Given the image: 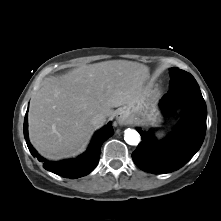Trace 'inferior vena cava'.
<instances>
[{
  "label": "inferior vena cava",
  "mask_w": 221,
  "mask_h": 221,
  "mask_svg": "<svg viewBox=\"0 0 221 221\" xmlns=\"http://www.w3.org/2000/svg\"><path fill=\"white\" fill-rule=\"evenodd\" d=\"M105 121H106V116L103 114H96L91 119V123L96 127L102 125Z\"/></svg>",
  "instance_id": "1"
}]
</instances>
